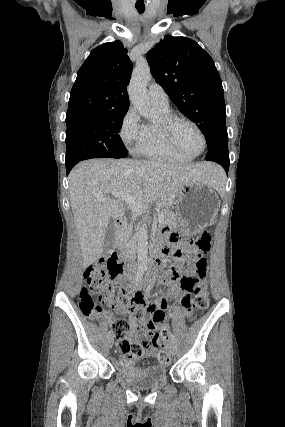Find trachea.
<instances>
[{"instance_id": "3493384b", "label": "trachea", "mask_w": 285, "mask_h": 427, "mask_svg": "<svg viewBox=\"0 0 285 427\" xmlns=\"http://www.w3.org/2000/svg\"><path fill=\"white\" fill-rule=\"evenodd\" d=\"M137 11L142 14L145 11V7H136Z\"/></svg>"}]
</instances>
